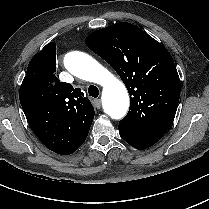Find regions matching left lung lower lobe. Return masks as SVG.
<instances>
[{"instance_id":"obj_1","label":"left lung lower lobe","mask_w":209,"mask_h":209,"mask_svg":"<svg viewBox=\"0 0 209 209\" xmlns=\"http://www.w3.org/2000/svg\"><path fill=\"white\" fill-rule=\"evenodd\" d=\"M119 129L120 132V136L128 143L130 144L132 147L138 149V150H144L146 148L151 147L153 144L155 143H151L149 141H146L142 138H140L139 136H137L136 134L124 130V129Z\"/></svg>"}]
</instances>
